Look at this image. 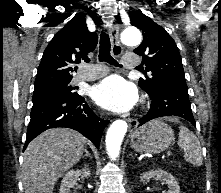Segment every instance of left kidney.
<instances>
[{
	"label": "left kidney",
	"mask_w": 221,
	"mask_h": 193,
	"mask_svg": "<svg viewBox=\"0 0 221 193\" xmlns=\"http://www.w3.org/2000/svg\"><path fill=\"white\" fill-rule=\"evenodd\" d=\"M156 176L158 179L163 180L168 185L167 193H180V188L175 178L168 172L164 170H151L149 172H145L140 177L141 182H145V179Z\"/></svg>",
	"instance_id": "left-kidney-1"
}]
</instances>
